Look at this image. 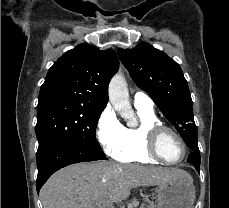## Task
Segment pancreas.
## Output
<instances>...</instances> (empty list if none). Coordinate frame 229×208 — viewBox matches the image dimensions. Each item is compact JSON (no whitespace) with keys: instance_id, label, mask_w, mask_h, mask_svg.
<instances>
[{"instance_id":"cf45deb5","label":"pancreas","mask_w":229,"mask_h":208,"mask_svg":"<svg viewBox=\"0 0 229 208\" xmlns=\"http://www.w3.org/2000/svg\"><path fill=\"white\" fill-rule=\"evenodd\" d=\"M146 204H142L140 208H156L154 202H150V200H145Z\"/></svg>"}]
</instances>
